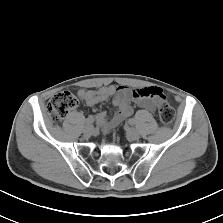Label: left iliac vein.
Wrapping results in <instances>:
<instances>
[{
    "label": "left iliac vein",
    "instance_id": "1",
    "mask_svg": "<svg viewBox=\"0 0 223 223\" xmlns=\"http://www.w3.org/2000/svg\"><path fill=\"white\" fill-rule=\"evenodd\" d=\"M127 138L131 141L138 140L140 138V133L135 128L126 127Z\"/></svg>",
    "mask_w": 223,
    "mask_h": 223
}]
</instances>
